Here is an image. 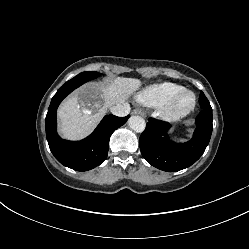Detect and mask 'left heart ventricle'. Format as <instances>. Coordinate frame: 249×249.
<instances>
[{"label": "left heart ventricle", "instance_id": "left-heart-ventricle-1", "mask_svg": "<svg viewBox=\"0 0 249 249\" xmlns=\"http://www.w3.org/2000/svg\"><path fill=\"white\" fill-rule=\"evenodd\" d=\"M188 101H189V98H188L187 96H184V97L181 99V103H182V104H186Z\"/></svg>", "mask_w": 249, "mask_h": 249}]
</instances>
